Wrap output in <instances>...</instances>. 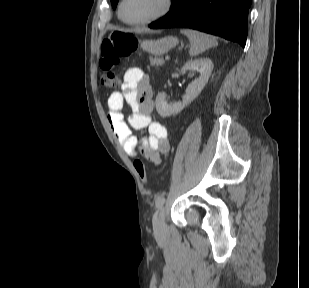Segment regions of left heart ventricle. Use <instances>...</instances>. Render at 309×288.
I'll return each instance as SVG.
<instances>
[{
  "label": "left heart ventricle",
  "mask_w": 309,
  "mask_h": 288,
  "mask_svg": "<svg viewBox=\"0 0 309 288\" xmlns=\"http://www.w3.org/2000/svg\"><path fill=\"white\" fill-rule=\"evenodd\" d=\"M162 8V0H126L123 16L128 21H140L156 14Z\"/></svg>",
  "instance_id": "1"
}]
</instances>
